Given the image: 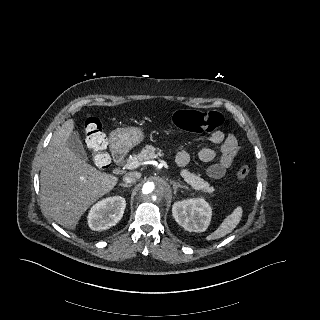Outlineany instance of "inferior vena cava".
Listing matches in <instances>:
<instances>
[{
    "mask_svg": "<svg viewBox=\"0 0 320 320\" xmlns=\"http://www.w3.org/2000/svg\"><path fill=\"white\" fill-rule=\"evenodd\" d=\"M141 177V173L139 172H128L124 175L123 181L126 184L135 183Z\"/></svg>",
    "mask_w": 320,
    "mask_h": 320,
    "instance_id": "inferior-vena-cava-1",
    "label": "inferior vena cava"
}]
</instances>
